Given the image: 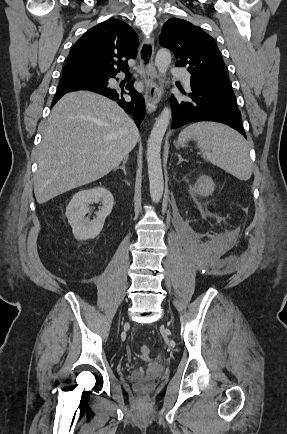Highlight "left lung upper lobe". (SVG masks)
I'll use <instances>...</instances> for the list:
<instances>
[{"mask_svg": "<svg viewBox=\"0 0 287 434\" xmlns=\"http://www.w3.org/2000/svg\"><path fill=\"white\" fill-rule=\"evenodd\" d=\"M162 29L160 44L175 54L176 66L186 67L194 81L233 92L217 44L210 35L178 18L169 19Z\"/></svg>", "mask_w": 287, "mask_h": 434, "instance_id": "obj_1", "label": "left lung upper lobe"}]
</instances>
